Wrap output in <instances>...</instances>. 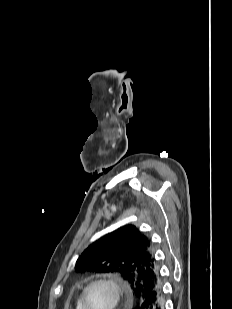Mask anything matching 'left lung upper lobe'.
Here are the masks:
<instances>
[{"label": "left lung upper lobe", "instance_id": "obj_1", "mask_svg": "<svg viewBox=\"0 0 232 309\" xmlns=\"http://www.w3.org/2000/svg\"><path fill=\"white\" fill-rule=\"evenodd\" d=\"M77 272L119 273L138 302L157 274L151 240L133 225H126L92 243L78 258Z\"/></svg>", "mask_w": 232, "mask_h": 309}]
</instances>
